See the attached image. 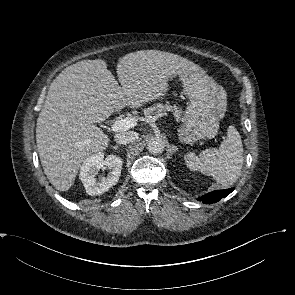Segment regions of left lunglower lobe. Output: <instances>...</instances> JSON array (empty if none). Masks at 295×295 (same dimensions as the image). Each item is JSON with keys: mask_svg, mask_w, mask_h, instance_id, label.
Here are the masks:
<instances>
[{"mask_svg": "<svg viewBox=\"0 0 295 295\" xmlns=\"http://www.w3.org/2000/svg\"><path fill=\"white\" fill-rule=\"evenodd\" d=\"M232 191H233V188H230L227 190H220V191L216 190L200 197V200H202L205 204L216 203L221 198H224L227 195H229Z\"/></svg>", "mask_w": 295, "mask_h": 295, "instance_id": "left-lung-lower-lobe-1", "label": "left lung lower lobe"}]
</instances>
